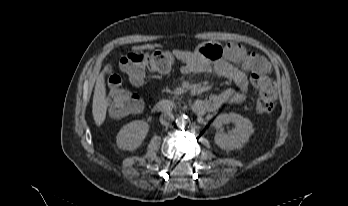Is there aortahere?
<instances>
[{
  "instance_id": "1",
  "label": "aorta",
  "mask_w": 348,
  "mask_h": 206,
  "mask_svg": "<svg viewBox=\"0 0 348 206\" xmlns=\"http://www.w3.org/2000/svg\"><path fill=\"white\" fill-rule=\"evenodd\" d=\"M190 119L187 115H180L176 118V125L179 128H185L189 125Z\"/></svg>"
}]
</instances>
